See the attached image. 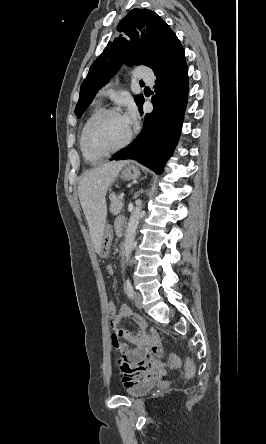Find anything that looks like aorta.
Here are the masks:
<instances>
[{"instance_id":"762f6f07","label":"aorta","mask_w":266,"mask_h":444,"mask_svg":"<svg viewBox=\"0 0 266 444\" xmlns=\"http://www.w3.org/2000/svg\"><path fill=\"white\" fill-rule=\"evenodd\" d=\"M142 213H143L142 203H141V201H139L131 213V216L129 218V222H128V225L126 228V232H125L124 256H125L126 263H128L130 261L131 252H132V249L135 244L136 231H137L139 220H140Z\"/></svg>"}]
</instances>
